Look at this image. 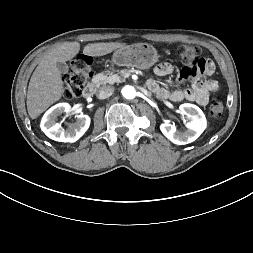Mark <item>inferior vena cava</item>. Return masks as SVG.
Returning a JSON list of instances; mask_svg holds the SVG:
<instances>
[{"label": "inferior vena cava", "mask_w": 253, "mask_h": 253, "mask_svg": "<svg viewBox=\"0 0 253 253\" xmlns=\"http://www.w3.org/2000/svg\"><path fill=\"white\" fill-rule=\"evenodd\" d=\"M114 92V87L112 86H102L99 89L98 98L105 99L110 97Z\"/></svg>", "instance_id": "inferior-vena-cava-1"}]
</instances>
